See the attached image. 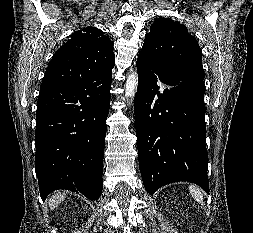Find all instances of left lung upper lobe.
<instances>
[{
	"mask_svg": "<svg viewBox=\"0 0 253 233\" xmlns=\"http://www.w3.org/2000/svg\"><path fill=\"white\" fill-rule=\"evenodd\" d=\"M143 53L170 79L178 80L189 74L204 78L201 49L183 24L169 18H159L146 34Z\"/></svg>",
	"mask_w": 253,
	"mask_h": 233,
	"instance_id": "1",
	"label": "left lung upper lobe"
}]
</instances>
